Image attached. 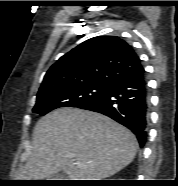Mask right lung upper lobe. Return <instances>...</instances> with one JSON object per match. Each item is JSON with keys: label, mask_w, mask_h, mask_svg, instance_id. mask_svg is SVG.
<instances>
[{"label": "right lung upper lobe", "mask_w": 178, "mask_h": 186, "mask_svg": "<svg viewBox=\"0 0 178 186\" xmlns=\"http://www.w3.org/2000/svg\"><path fill=\"white\" fill-rule=\"evenodd\" d=\"M139 68L138 55L124 40L98 36L81 43L52 65L39 92L90 83L110 84Z\"/></svg>", "instance_id": "cb5924a9"}]
</instances>
